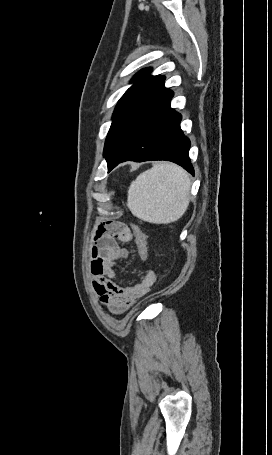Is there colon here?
Segmentation results:
<instances>
[{
  "label": "colon",
  "instance_id": "1",
  "mask_svg": "<svg viewBox=\"0 0 272 455\" xmlns=\"http://www.w3.org/2000/svg\"><path fill=\"white\" fill-rule=\"evenodd\" d=\"M133 234L135 237V242L137 245V253L140 258V261L143 265H146L148 260V246H147V238L143 230L140 226L136 224L131 225Z\"/></svg>",
  "mask_w": 272,
  "mask_h": 455
}]
</instances>
